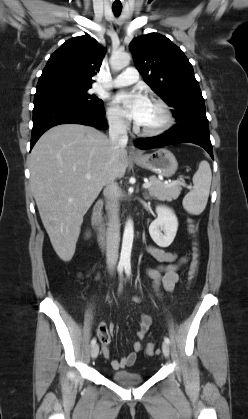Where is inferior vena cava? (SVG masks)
<instances>
[{
  "label": "inferior vena cava",
  "mask_w": 248,
  "mask_h": 419,
  "mask_svg": "<svg viewBox=\"0 0 248 419\" xmlns=\"http://www.w3.org/2000/svg\"><path fill=\"white\" fill-rule=\"evenodd\" d=\"M109 121V139L112 150L116 151L125 148L128 141L127 126L125 121L118 116H111ZM115 178L110 177L104 189L106 197V207L108 210L107 239H106V259L107 266L113 270L118 261L119 241H120V221H119V202L118 188L114 182Z\"/></svg>",
  "instance_id": "obj_1"
}]
</instances>
